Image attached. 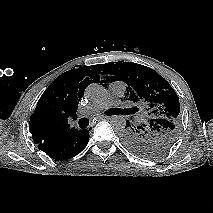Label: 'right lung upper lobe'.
<instances>
[{"label":"right lung upper lobe","instance_id":"cb5924a9","mask_svg":"<svg viewBox=\"0 0 213 213\" xmlns=\"http://www.w3.org/2000/svg\"><path fill=\"white\" fill-rule=\"evenodd\" d=\"M90 69L93 70L80 68L61 74L42 94L29 124L35 144L55 145L78 132L68 120L77 118L78 102L86 87L99 81L95 68Z\"/></svg>","mask_w":213,"mask_h":213}]
</instances>
